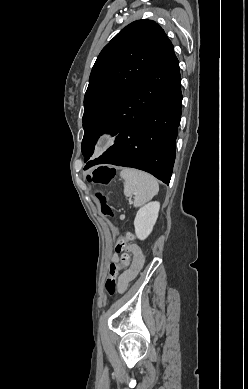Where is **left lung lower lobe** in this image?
Listing matches in <instances>:
<instances>
[{"instance_id":"left-lung-lower-lobe-1","label":"left lung lower lobe","mask_w":248,"mask_h":389,"mask_svg":"<svg viewBox=\"0 0 248 389\" xmlns=\"http://www.w3.org/2000/svg\"><path fill=\"white\" fill-rule=\"evenodd\" d=\"M181 107L179 61L171 45L107 117L101 133L118 136L86 168L102 163L132 167L169 184Z\"/></svg>"}]
</instances>
